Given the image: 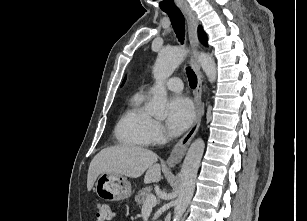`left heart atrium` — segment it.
<instances>
[{"mask_svg": "<svg viewBox=\"0 0 307 221\" xmlns=\"http://www.w3.org/2000/svg\"><path fill=\"white\" fill-rule=\"evenodd\" d=\"M193 119V106L187 98L176 96L169 101L166 125L172 135L183 133Z\"/></svg>", "mask_w": 307, "mask_h": 221, "instance_id": "obj_1", "label": "left heart atrium"}]
</instances>
